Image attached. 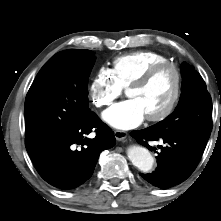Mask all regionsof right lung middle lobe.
<instances>
[{"mask_svg":"<svg viewBox=\"0 0 221 221\" xmlns=\"http://www.w3.org/2000/svg\"><path fill=\"white\" fill-rule=\"evenodd\" d=\"M95 59L93 51L70 49L46 62L26 96V139L69 135L90 115L87 85Z\"/></svg>","mask_w":221,"mask_h":221,"instance_id":"dd1d6c3e","label":"right lung middle lobe"}]
</instances>
